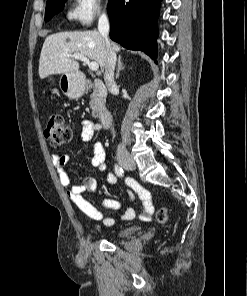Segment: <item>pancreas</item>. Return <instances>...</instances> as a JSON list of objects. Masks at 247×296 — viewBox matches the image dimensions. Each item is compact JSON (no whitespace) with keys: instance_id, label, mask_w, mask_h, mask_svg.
<instances>
[{"instance_id":"cf45deb5","label":"pancreas","mask_w":247,"mask_h":296,"mask_svg":"<svg viewBox=\"0 0 247 296\" xmlns=\"http://www.w3.org/2000/svg\"><path fill=\"white\" fill-rule=\"evenodd\" d=\"M103 104L99 101V100H97L96 98H92L91 99V102H90V107H91V109H92V116L94 117V118H96L98 115V111H99V107H101Z\"/></svg>"}]
</instances>
